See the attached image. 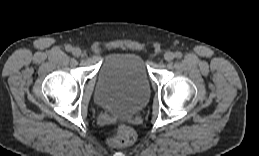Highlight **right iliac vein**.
I'll list each match as a JSON object with an SVG mask.
<instances>
[{"label":"right iliac vein","mask_w":259,"mask_h":156,"mask_svg":"<svg viewBox=\"0 0 259 156\" xmlns=\"http://www.w3.org/2000/svg\"><path fill=\"white\" fill-rule=\"evenodd\" d=\"M72 54L76 57L80 56L81 55V49L78 48V47H75L72 49Z\"/></svg>","instance_id":"1"}]
</instances>
